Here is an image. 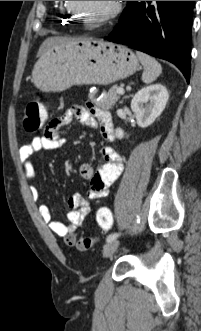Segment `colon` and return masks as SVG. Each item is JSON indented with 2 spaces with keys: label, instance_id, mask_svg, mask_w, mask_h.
<instances>
[{
  "label": "colon",
  "instance_id": "obj_1",
  "mask_svg": "<svg viewBox=\"0 0 201 331\" xmlns=\"http://www.w3.org/2000/svg\"><path fill=\"white\" fill-rule=\"evenodd\" d=\"M47 120V112L44 105L38 100L30 101L24 112L23 124L27 132H35L45 126ZM97 224L103 229H109L113 223L112 212L108 207H100L96 213ZM96 242V238L81 237L76 247L84 250L88 249Z\"/></svg>",
  "mask_w": 201,
  "mask_h": 331
}]
</instances>
